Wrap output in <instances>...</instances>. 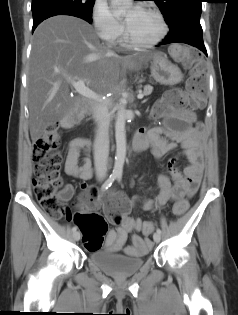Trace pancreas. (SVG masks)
<instances>
[{"mask_svg":"<svg viewBox=\"0 0 238 315\" xmlns=\"http://www.w3.org/2000/svg\"><path fill=\"white\" fill-rule=\"evenodd\" d=\"M153 91V87L151 85H145L143 95L147 96L150 95Z\"/></svg>","mask_w":238,"mask_h":315,"instance_id":"obj_1","label":"pancreas"}]
</instances>
